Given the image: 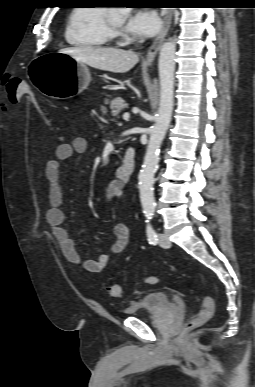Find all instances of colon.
Returning a JSON list of instances; mask_svg holds the SVG:
<instances>
[{"instance_id":"1","label":"colon","mask_w":255,"mask_h":387,"mask_svg":"<svg viewBox=\"0 0 255 387\" xmlns=\"http://www.w3.org/2000/svg\"><path fill=\"white\" fill-rule=\"evenodd\" d=\"M23 95L31 96L36 107H40L37 99L33 96L30 87L25 82L16 77L9 79L6 84L7 100L10 103H18ZM58 139L61 140V137H58ZM146 282L149 284H155L158 282V279L155 276H149L146 278ZM193 289L201 296L203 308L197 316L190 319L185 324L184 332H190L205 324L213 317L215 312V302L213 298L195 286H193ZM107 290L111 297L118 298L122 295L121 286L117 283H109Z\"/></svg>"}]
</instances>
